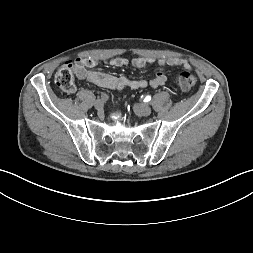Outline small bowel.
Instances as JSON below:
<instances>
[{
	"mask_svg": "<svg viewBox=\"0 0 253 253\" xmlns=\"http://www.w3.org/2000/svg\"><path fill=\"white\" fill-rule=\"evenodd\" d=\"M152 62H154V59L152 58L135 57L128 60L125 57L118 56L108 60L107 62L101 61L98 63V59L95 57H81L76 60L75 65L77 67L76 74L79 79L86 80L99 87L112 90H122L125 88H146L148 86L158 88L167 82V77L163 71L156 70L152 79L130 80L126 77H119L104 72L107 70L108 66L123 67L130 64L135 68H143ZM157 63L160 67L175 66L184 70L190 69L188 61L182 58H160ZM96 65L98 70H93L92 68Z\"/></svg>",
	"mask_w": 253,
	"mask_h": 253,
	"instance_id": "c3829d8e",
	"label": "small bowel"
}]
</instances>
